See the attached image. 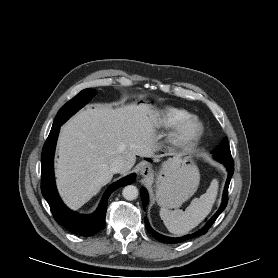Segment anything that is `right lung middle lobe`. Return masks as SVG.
<instances>
[{
	"label": "right lung middle lobe",
	"instance_id": "1",
	"mask_svg": "<svg viewBox=\"0 0 278 278\" xmlns=\"http://www.w3.org/2000/svg\"><path fill=\"white\" fill-rule=\"evenodd\" d=\"M95 94L96 91L93 89H84L78 93L59 110L53 126L62 125L70 116L83 107Z\"/></svg>",
	"mask_w": 278,
	"mask_h": 278
}]
</instances>
